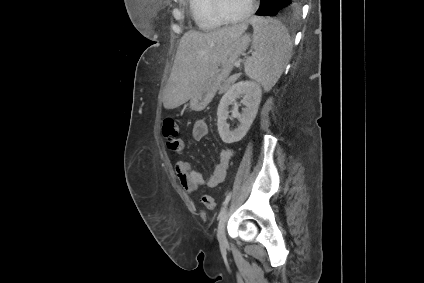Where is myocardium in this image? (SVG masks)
<instances>
[{
    "instance_id": "obj_1",
    "label": "myocardium",
    "mask_w": 424,
    "mask_h": 283,
    "mask_svg": "<svg viewBox=\"0 0 424 283\" xmlns=\"http://www.w3.org/2000/svg\"><path fill=\"white\" fill-rule=\"evenodd\" d=\"M257 7V0H250L249 8L244 12L242 15L237 17H230L227 16L221 5V0H210V8L213 16L220 21L221 23L225 24H233V23H239L246 21L251 17V15L255 12Z\"/></svg>"
}]
</instances>
